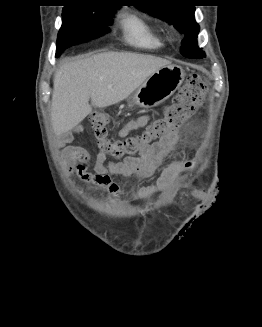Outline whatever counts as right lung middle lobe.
Wrapping results in <instances>:
<instances>
[{"instance_id":"right-lung-middle-lobe-1","label":"right lung middle lobe","mask_w":262,"mask_h":327,"mask_svg":"<svg viewBox=\"0 0 262 327\" xmlns=\"http://www.w3.org/2000/svg\"><path fill=\"white\" fill-rule=\"evenodd\" d=\"M116 8L87 4L63 8L62 26L58 33L56 57L71 45L100 37L110 32L109 26Z\"/></svg>"}]
</instances>
